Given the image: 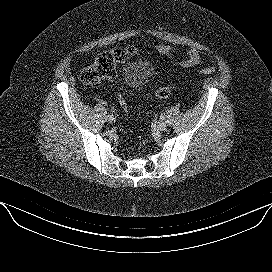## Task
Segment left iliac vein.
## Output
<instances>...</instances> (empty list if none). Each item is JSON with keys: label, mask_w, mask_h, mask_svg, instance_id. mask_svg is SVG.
Masks as SVG:
<instances>
[{"label": "left iliac vein", "mask_w": 272, "mask_h": 272, "mask_svg": "<svg viewBox=\"0 0 272 272\" xmlns=\"http://www.w3.org/2000/svg\"><path fill=\"white\" fill-rule=\"evenodd\" d=\"M167 128V124L165 122H157V129L160 131H164Z\"/></svg>", "instance_id": "1"}]
</instances>
